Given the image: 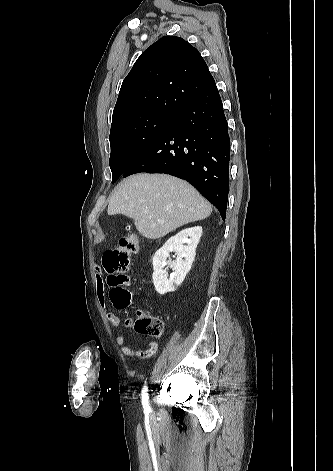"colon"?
<instances>
[{
    "label": "colon",
    "mask_w": 333,
    "mask_h": 471,
    "mask_svg": "<svg viewBox=\"0 0 333 471\" xmlns=\"http://www.w3.org/2000/svg\"><path fill=\"white\" fill-rule=\"evenodd\" d=\"M129 235L119 241V245L108 250L103 255V266L108 276V284L111 287L110 299L117 309H125L130 305L131 294L127 290L130 284L128 271L131 258L138 253L139 242L137 235L132 232L131 227H127ZM135 329L142 334L159 338L163 334V322L154 315L137 312Z\"/></svg>",
    "instance_id": "obj_1"
}]
</instances>
